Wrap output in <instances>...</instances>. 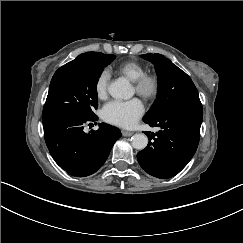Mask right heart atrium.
I'll return each mask as SVG.
<instances>
[{"label": "right heart atrium", "mask_w": 243, "mask_h": 243, "mask_svg": "<svg viewBox=\"0 0 243 243\" xmlns=\"http://www.w3.org/2000/svg\"><path fill=\"white\" fill-rule=\"evenodd\" d=\"M111 78V72L108 68L102 69L95 78L94 92L99 100H103L108 95V86Z\"/></svg>", "instance_id": "1"}]
</instances>
